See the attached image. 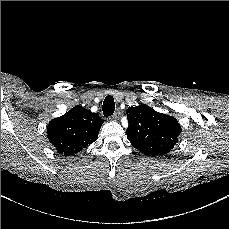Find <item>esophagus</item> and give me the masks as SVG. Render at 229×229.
I'll return each mask as SVG.
<instances>
[{
  "instance_id": "obj_1",
  "label": "esophagus",
  "mask_w": 229,
  "mask_h": 229,
  "mask_svg": "<svg viewBox=\"0 0 229 229\" xmlns=\"http://www.w3.org/2000/svg\"><path fill=\"white\" fill-rule=\"evenodd\" d=\"M121 116V112L119 110H117L114 115H113V119L114 120H118Z\"/></svg>"
}]
</instances>
